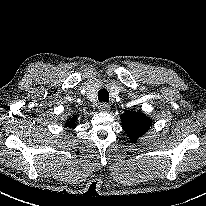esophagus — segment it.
Listing matches in <instances>:
<instances>
[{"label": "esophagus", "mask_w": 206, "mask_h": 206, "mask_svg": "<svg viewBox=\"0 0 206 206\" xmlns=\"http://www.w3.org/2000/svg\"><path fill=\"white\" fill-rule=\"evenodd\" d=\"M110 109L111 108H110V105L108 103L103 102L99 105V111H101V112L108 113L110 111Z\"/></svg>", "instance_id": "34e87169"}]
</instances>
